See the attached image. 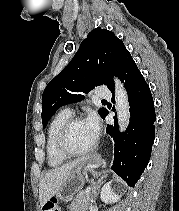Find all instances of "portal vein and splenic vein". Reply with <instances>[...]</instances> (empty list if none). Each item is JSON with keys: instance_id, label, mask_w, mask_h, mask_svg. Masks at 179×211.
Returning <instances> with one entry per match:
<instances>
[{"instance_id": "18ae733b", "label": "portal vein and splenic vein", "mask_w": 179, "mask_h": 211, "mask_svg": "<svg viewBox=\"0 0 179 211\" xmlns=\"http://www.w3.org/2000/svg\"><path fill=\"white\" fill-rule=\"evenodd\" d=\"M91 190V188H87V190L85 192H89Z\"/></svg>"}]
</instances>
